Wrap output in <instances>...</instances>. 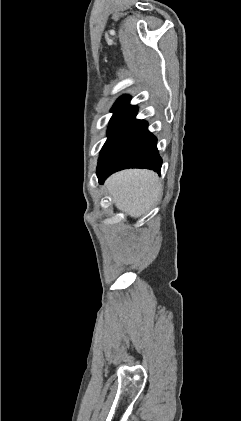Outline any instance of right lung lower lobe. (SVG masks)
<instances>
[{
    "label": "right lung lower lobe",
    "mask_w": 241,
    "mask_h": 421,
    "mask_svg": "<svg viewBox=\"0 0 241 421\" xmlns=\"http://www.w3.org/2000/svg\"><path fill=\"white\" fill-rule=\"evenodd\" d=\"M137 108L132 111L118 135L98 161L99 183L112 173L127 168H147L160 172L162 159L156 144L157 138L148 131V124L135 119Z\"/></svg>",
    "instance_id": "1"
}]
</instances>
